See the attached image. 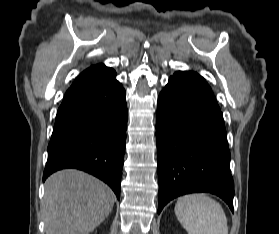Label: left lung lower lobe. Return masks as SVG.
<instances>
[{"label": "left lung lower lobe", "instance_id": "0a47b994", "mask_svg": "<svg viewBox=\"0 0 279 234\" xmlns=\"http://www.w3.org/2000/svg\"><path fill=\"white\" fill-rule=\"evenodd\" d=\"M158 213L175 197L209 192L233 211L234 184L223 115L199 74L179 71L158 97Z\"/></svg>", "mask_w": 279, "mask_h": 234}]
</instances>
